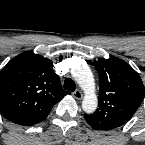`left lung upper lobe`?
Here are the masks:
<instances>
[{"label":"left lung upper lobe","mask_w":145,"mask_h":145,"mask_svg":"<svg viewBox=\"0 0 145 145\" xmlns=\"http://www.w3.org/2000/svg\"><path fill=\"white\" fill-rule=\"evenodd\" d=\"M99 74L98 109L85 114L96 130H112L126 124L139 108L145 87L139 74L125 61L111 57L95 63Z\"/></svg>","instance_id":"left-lung-upper-lobe-1"}]
</instances>
